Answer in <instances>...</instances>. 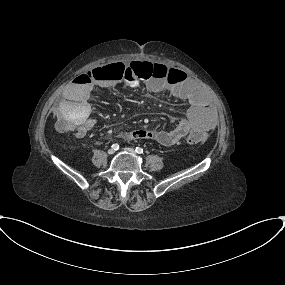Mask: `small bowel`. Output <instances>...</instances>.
Returning <instances> with one entry per match:
<instances>
[{
  "mask_svg": "<svg viewBox=\"0 0 285 285\" xmlns=\"http://www.w3.org/2000/svg\"><path fill=\"white\" fill-rule=\"evenodd\" d=\"M109 66L95 68L91 71H100L103 77L94 79L91 83L83 84L77 82L76 78L66 87L65 96L56 108L57 115H69L79 121L77 135L82 136L97 125V120L89 118L90 105L88 98L95 87L111 88L129 77L127 83L136 88L140 82L137 77L124 66L122 76ZM147 90L158 93L168 91L175 99L183 101L186 105V117L180 120L175 127L169 130H138L123 134L125 140L151 139L163 146H171L187 136L192 130L208 132L214 127V119L211 110L206 104L204 90L191 77H186L177 83H166L160 80H150L145 83Z\"/></svg>",
  "mask_w": 285,
  "mask_h": 285,
  "instance_id": "small-bowel-1",
  "label": "small bowel"
}]
</instances>
